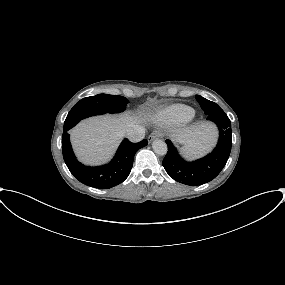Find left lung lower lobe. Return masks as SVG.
Segmentation results:
<instances>
[{
    "label": "left lung lower lobe",
    "instance_id": "left-lung-lower-lobe-1",
    "mask_svg": "<svg viewBox=\"0 0 285 285\" xmlns=\"http://www.w3.org/2000/svg\"><path fill=\"white\" fill-rule=\"evenodd\" d=\"M207 119L218 126L220 135L216 148L207 156L193 162H187L178 154L171 141L166 140L168 152L162 165L169 176L180 183L197 186L213 180L229 158L232 144L229 118L224 111H217L209 114Z\"/></svg>",
    "mask_w": 285,
    "mask_h": 285
}]
</instances>
